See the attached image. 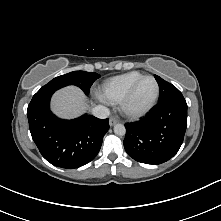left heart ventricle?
<instances>
[{"mask_svg": "<svg viewBox=\"0 0 221 221\" xmlns=\"http://www.w3.org/2000/svg\"><path fill=\"white\" fill-rule=\"evenodd\" d=\"M155 84L151 79L144 80L137 88L132 99L133 108H141L145 106L154 96Z\"/></svg>", "mask_w": 221, "mask_h": 221, "instance_id": "1", "label": "left heart ventricle"}]
</instances>
